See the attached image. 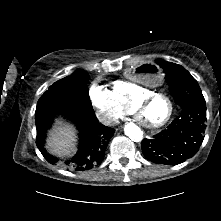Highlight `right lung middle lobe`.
<instances>
[{
  "mask_svg": "<svg viewBox=\"0 0 221 221\" xmlns=\"http://www.w3.org/2000/svg\"><path fill=\"white\" fill-rule=\"evenodd\" d=\"M87 78L88 74L78 69L73 77H65L50 86L37 103L36 125L51 120L56 114H93L85 84Z\"/></svg>",
  "mask_w": 221,
  "mask_h": 221,
  "instance_id": "1",
  "label": "right lung middle lobe"
}]
</instances>
